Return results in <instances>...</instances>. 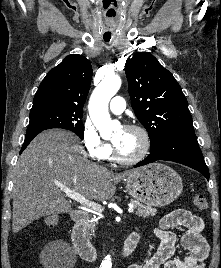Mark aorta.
<instances>
[{
	"label": "aorta",
	"instance_id": "1",
	"mask_svg": "<svg viewBox=\"0 0 221 268\" xmlns=\"http://www.w3.org/2000/svg\"><path fill=\"white\" fill-rule=\"evenodd\" d=\"M121 87V79L117 75L105 77L93 91L89 100V114L101 137L109 138L116 123L110 118L108 104Z\"/></svg>",
	"mask_w": 221,
	"mask_h": 268
}]
</instances>
